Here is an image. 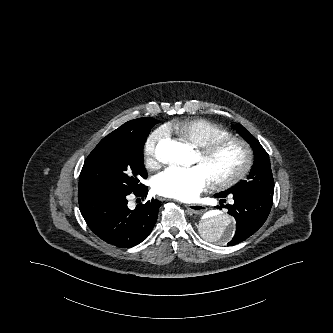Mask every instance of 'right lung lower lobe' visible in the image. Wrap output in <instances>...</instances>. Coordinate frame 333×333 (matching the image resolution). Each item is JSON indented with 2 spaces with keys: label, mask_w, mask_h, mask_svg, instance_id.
I'll list each match as a JSON object with an SVG mask.
<instances>
[{
  "label": "right lung lower lobe",
  "mask_w": 333,
  "mask_h": 333,
  "mask_svg": "<svg viewBox=\"0 0 333 333\" xmlns=\"http://www.w3.org/2000/svg\"><path fill=\"white\" fill-rule=\"evenodd\" d=\"M130 193L103 191L78 196L80 212L92 232L121 248L133 247L146 239L157 221L161 205L152 198L130 210L127 206ZM133 193L146 197L148 188L143 186Z\"/></svg>",
  "instance_id": "obj_1"
}]
</instances>
